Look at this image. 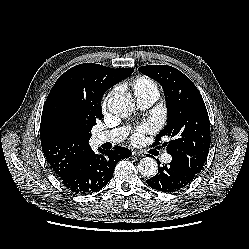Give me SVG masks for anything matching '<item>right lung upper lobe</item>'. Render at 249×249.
<instances>
[{
  "label": "right lung upper lobe",
  "mask_w": 249,
  "mask_h": 249,
  "mask_svg": "<svg viewBox=\"0 0 249 249\" xmlns=\"http://www.w3.org/2000/svg\"><path fill=\"white\" fill-rule=\"evenodd\" d=\"M133 71V68L113 69L85 63L70 68L56 81L42 111L40 138L43 153L59 177L64 176L90 146L83 147L78 137L61 127V120L53 114L52 108L57 95L67 92L86 104L100 105L105 91Z\"/></svg>",
  "instance_id": "right-lung-upper-lobe-1"
}]
</instances>
